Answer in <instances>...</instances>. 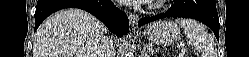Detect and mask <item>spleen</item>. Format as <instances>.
<instances>
[{
	"label": "spleen",
	"mask_w": 249,
	"mask_h": 57,
	"mask_svg": "<svg viewBox=\"0 0 249 57\" xmlns=\"http://www.w3.org/2000/svg\"><path fill=\"white\" fill-rule=\"evenodd\" d=\"M176 22L184 28L187 39L203 54V57H216L214 40L201 23L186 18H177Z\"/></svg>",
	"instance_id": "obj_1"
}]
</instances>
